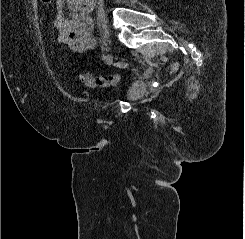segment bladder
<instances>
[{
    "instance_id": "obj_1",
    "label": "bladder",
    "mask_w": 245,
    "mask_h": 239,
    "mask_svg": "<svg viewBox=\"0 0 245 239\" xmlns=\"http://www.w3.org/2000/svg\"><path fill=\"white\" fill-rule=\"evenodd\" d=\"M147 89L148 87L146 85H142L141 83H136L129 86L126 90L127 101L130 103H137L144 97Z\"/></svg>"
}]
</instances>
